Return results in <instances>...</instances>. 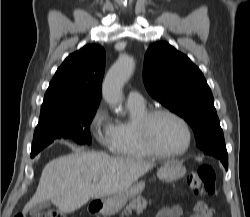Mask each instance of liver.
I'll return each instance as SVG.
<instances>
[{
    "label": "liver",
    "instance_id": "6515ba94",
    "mask_svg": "<svg viewBox=\"0 0 250 217\" xmlns=\"http://www.w3.org/2000/svg\"><path fill=\"white\" fill-rule=\"evenodd\" d=\"M153 166L140 159L91 151L58 157L44 167L37 190L23 212L45 201H51L61 212H74L91 198L112 196L131 187ZM93 178H98V183H92Z\"/></svg>",
    "mask_w": 250,
    "mask_h": 217
}]
</instances>
